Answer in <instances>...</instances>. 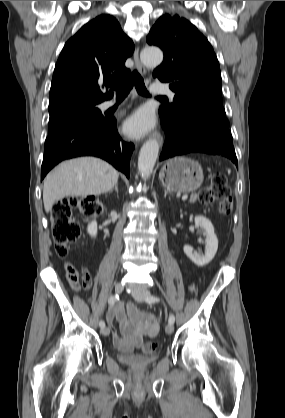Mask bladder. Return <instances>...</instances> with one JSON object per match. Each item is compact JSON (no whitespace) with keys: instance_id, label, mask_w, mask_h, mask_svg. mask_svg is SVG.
Instances as JSON below:
<instances>
[{"instance_id":"31cf9c89","label":"bladder","mask_w":285,"mask_h":418,"mask_svg":"<svg viewBox=\"0 0 285 418\" xmlns=\"http://www.w3.org/2000/svg\"><path fill=\"white\" fill-rule=\"evenodd\" d=\"M117 357L121 363L135 368L148 367L157 360L153 352L142 354L135 351L118 350Z\"/></svg>"}]
</instances>
